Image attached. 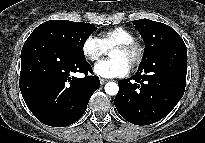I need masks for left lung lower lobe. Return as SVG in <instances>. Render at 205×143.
Instances as JSON below:
<instances>
[{"label": "left lung lower lobe", "instance_id": "obj_1", "mask_svg": "<svg viewBox=\"0 0 205 143\" xmlns=\"http://www.w3.org/2000/svg\"><path fill=\"white\" fill-rule=\"evenodd\" d=\"M162 66L138 69L127 80H120L114 104L119 114L135 125L153 124L167 116L182 98L186 86L187 49L175 40L155 54ZM156 66V68H152Z\"/></svg>", "mask_w": 205, "mask_h": 143}]
</instances>
